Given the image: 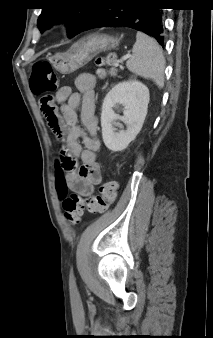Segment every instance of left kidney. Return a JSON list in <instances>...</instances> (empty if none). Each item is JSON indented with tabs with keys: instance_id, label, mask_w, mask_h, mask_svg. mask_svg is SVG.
<instances>
[{
	"instance_id": "left-kidney-1",
	"label": "left kidney",
	"mask_w": 213,
	"mask_h": 338,
	"mask_svg": "<svg viewBox=\"0 0 213 338\" xmlns=\"http://www.w3.org/2000/svg\"><path fill=\"white\" fill-rule=\"evenodd\" d=\"M149 103L148 88L137 80L123 81L115 85L102 104L101 127L105 146L119 152L127 148L140 132ZM122 105L123 116L115 114L113 107ZM116 120L124 122L126 130L116 132Z\"/></svg>"
}]
</instances>
